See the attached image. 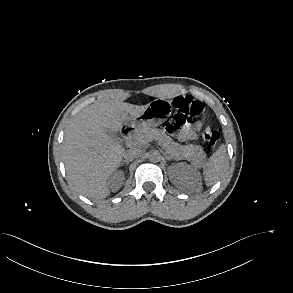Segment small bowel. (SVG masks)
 <instances>
[{"mask_svg": "<svg viewBox=\"0 0 293 293\" xmlns=\"http://www.w3.org/2000/svg\"><path fill=\"white\" fill-rule=\"evenodd\" d=\"M201 127V122H195L191 126H189L185 131H184V137L186 139H194L196 134L195 132Z\"/></svg>", "mask_w": 293, "mask_h": 293, "instance_id": "1", "label": "small bowel"}]
</instances>
